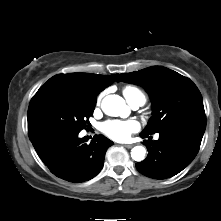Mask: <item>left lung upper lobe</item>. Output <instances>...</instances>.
Listing matches in <instances>:
<instances>
[{
	"label": "left lung upper lobe",
	"instance_id": "1",
	"mask_svg": "<svg viewBox=\"0 0 221 221\" xmlns=\"http://www.w3.org/2000/svg\"><path fill=\"white\" fill-rule=\"evenodd\" d=\"M117 81L142 86L152 100L153 116L142 134L157 133L184 120L206 121L203 99L187 77L162 66L122 73Z\"/></svg>",
	"mask_w": 221,
	"mask_h": 221
}]
</instances>
